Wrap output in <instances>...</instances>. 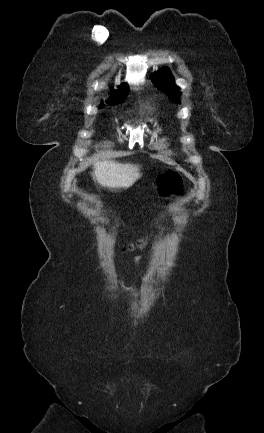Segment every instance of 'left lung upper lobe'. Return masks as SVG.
I'll return each instance as SVG.
<instances>
[{
  "label": "left lung upper lobe",
  "instance_id": "1",
  "mask_svg": "<svg viewBox=\"0 0 264 433\" xmlns=\"http://www.w3.org/2000/svg\"><path fill=\"white\" fill-rule=\"evenodd\" d=\"M153 83L161 89L164 93H166L169 98H171L174 102L180 103L179 100V89L175 83L174 78L167 68H163L160 71L156 72L151 76Z\"/></svg>",
  "mask_w": 264,
  "mask_h": 433
}]
</instances>
